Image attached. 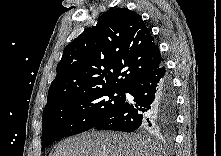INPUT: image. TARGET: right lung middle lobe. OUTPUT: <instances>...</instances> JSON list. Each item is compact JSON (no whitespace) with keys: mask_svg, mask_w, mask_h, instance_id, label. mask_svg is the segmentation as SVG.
I'll list each match as a JSON object with an SVG mask.
<instances>
[{"mask_svg":"<svg viewBox=\"0 0 221 156\" xmlns=\"http://www.w3.org/2000/svg\"><path fill=\"white\" fill-rule=\"evenodd\" d=\"M125 93L114 89L79 92L45 108L42 150L61 138L92 129L124 104Z\"/></svg>","mask_w":221,"mask_h":156,"instance_id":"1","label":"right lung middle lobe"}]
</instances>
